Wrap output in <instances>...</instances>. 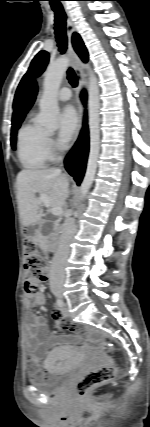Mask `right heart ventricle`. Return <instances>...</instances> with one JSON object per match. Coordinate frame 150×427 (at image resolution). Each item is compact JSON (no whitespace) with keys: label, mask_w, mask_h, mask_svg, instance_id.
<instances>
[{"label":"right heart ventricle","mask_w":150,"mask_h":427,"mask_svg":"<svg viewBox=\"0 0 150 427\" xmlns=\"http://www.w3.org/2000/svg\"><path fill=\"white\" fill-rule=\"evenodd\" d=\"M47 136L46 131L31 119L20 127L16 139V154L23 168L38 170L48 164L51 155Z\"/></svg>","instance_id":"obj_1"}]
</instances>
